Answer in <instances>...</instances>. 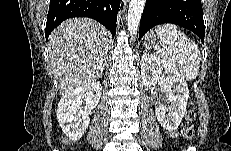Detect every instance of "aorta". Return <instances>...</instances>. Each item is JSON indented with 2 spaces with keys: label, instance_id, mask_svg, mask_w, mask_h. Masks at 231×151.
I'll return each instance as SVG.
<instances>
[{
  "label": "aorta",
  "instance_id": "aorta-1",
  "mask_svg": "<svg viewBox=\"0 0 231 151\" xmlns=\"http://www.w3.org/2000/svg\"><path fill=\"white\" fill-rule=\"evenodd\" d=\"M145 2L146 0H130L128 9L127 28L128 32L131 35V40H135V35L137 34Z\"/></svg>",
  "mask_w": 231,
  "mask_h": 151
}]
</instances>
